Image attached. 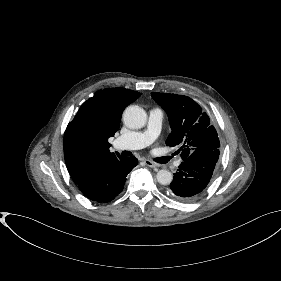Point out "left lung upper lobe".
Listing matches in <instances>:
<instances>
[{"mask_svg": "<svg viewBox=\"0 0 281 281\" xmlns=\"http://www.w3.org/2000/svg\"><path fill=\"white\" fill-rule=\"evenodd\" d=\"M153 99L166 111L171 133L166 144L179 145L182 159L188 158L196 150L219 149L220 142L215 128L201 107L191 98L176 94L151 93Z\"/></svg>", "mask_w": 281, "mask_h": 281, "instance_id": "1", "label": "left lung upper lobe"}]
</instances>
